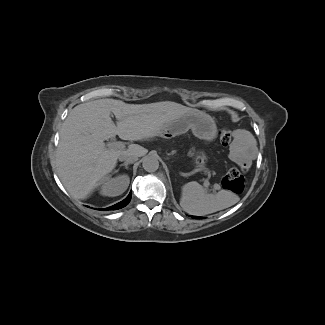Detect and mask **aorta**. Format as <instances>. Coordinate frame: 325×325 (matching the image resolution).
<instances>
[{
    "mask_svg": "<svg viewBox=\"0 0 325 325\" xmlns=\"http://www.w3.org/2000/svg\"><path fill=\"white\" fill-rule=\"evenodd\" d=\"M142 166L147 172H155L159 168L158 158L154 155H147L143 158Z\"/></svg>",
    "mask_w": 325,
    "mask_h": 325,
    "instance_id": "obj_1",
    "label": "aorta"
}]
</instances>
